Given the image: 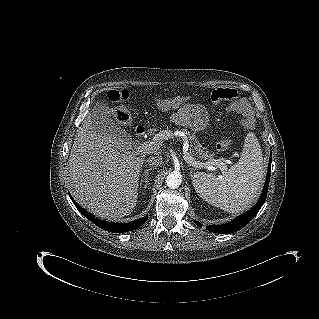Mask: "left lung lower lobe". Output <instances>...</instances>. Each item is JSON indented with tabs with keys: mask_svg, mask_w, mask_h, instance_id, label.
Segmentation results:
<instances>
[{
	"mask_svg": "<svg viewBox=\"0 0 319 319\" xmlns=\"http://www.w3.org/2000/svg\"><path fill=\"white\" fill-rule=\"evenodd\" d=\"M271 160L272 158L270 157L266 182L264 185L262 195L259 201L257 202V204L251 210H249L243 215H240L232 222H229L223 225H210L206 227L207 230H209L210 232L220 233V234L233 233L242 229L246 224H248L253 219V217L258 213V211L264 204L266 196H267V191H268V186L270 181V173H271ZM195 223L199 227H202V225L199 222L195 221Z\"/></svg>",
	"mask_w": 319,
	"mask_h": 319,
	"instance_id": "0a47b994",
	"label": "left lung lower lobe"
}]
</instances>
